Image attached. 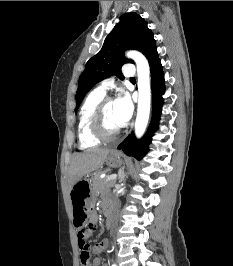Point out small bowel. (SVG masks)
Here are the masks:
<instances>
[{
	"mask_svg": "<svg viewBox=\"0 0 233 266\" xmlns=\"http://www.w3.org/2000/svg\"><path fill=\"white\" fill-rule=\"evenodd\" d=\"M91 221L92 222L96 221V215L95 214H92ZM90 234H91V231H86L85 232V236H84L85 241L90 236ZM106 245H107L106 242L102 241V242H99V243L93 245L92 247L89 246L90 252H93V253H96V254L100 253L106 247ZM88 266H104V265H102L100 257H95L94 259L90 260Z\"/></svg>",
	"mask_w": 233,
	"mask_h": 266,
	"instance_id": "obj_1",
	"label": "small bowel"
}]
</instances>
